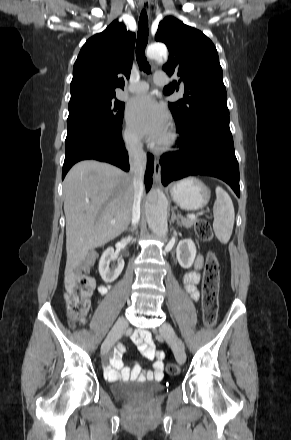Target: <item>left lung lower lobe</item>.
Returning <instances> with one entry per match:
<instances>
[{"label":"left lung lower lobe","mask_w":291,"mask_h":440,"mask_svg":"<svg viewBox=\"0 0 291 440\" xmlns=\"http://www.w3.org/2000/svg\"><path fill=\"white\" fill-rule=\"evenodd\" d=\"M178 151L160 159L162 183L167 185L189 175L222 179L240 197L239 166L234 152L229 116H209L178 131Z\"/></svg>","instance_id":"0a47b994"}]
</instances>
